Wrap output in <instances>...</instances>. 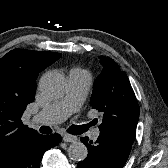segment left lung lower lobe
<instances>
[{"label": "left lung lower lobe", "mask_w": 168, "mask_h": 168, "mask_svg": "<svg viewBox=\"0 0 168 168\" xmlns=\"http://www.w3.org/2000/svg\"><path fill=\"white\" fill-rule=\"evenodd\" d=\"M81 141L87 146L88 157L77 168H123L133 144L109 132H100L95 143L88 137H82Z\"/></svg>", "instance_id": "0a47b994"}]
</instances>
